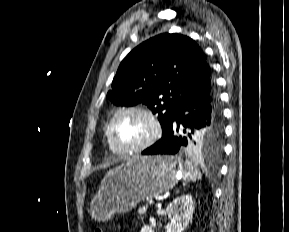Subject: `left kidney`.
<instances>
[{"instance_id": "left-kidney-1", "label": "left kidney", "mask_w": 289, "mask_h": 232, "mask_svg": "<svg viewBox=\"0 0 289 232\" xmlns=\"http://www.w3.org/2000/svg\"><path fill=\"white\" fill-rule=\"evenodd\" d=\"M166 212L170 220L166 232H182L189 225L194 213V201L191 195H181L169 203ZM141 232H154L145 225Z\"/></svg>"}]
</instances>
